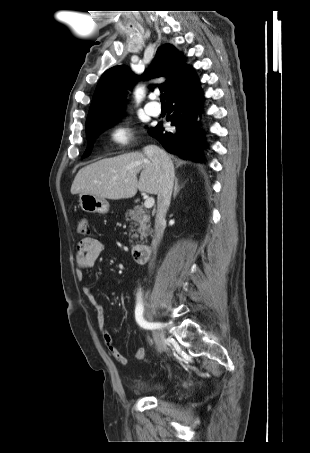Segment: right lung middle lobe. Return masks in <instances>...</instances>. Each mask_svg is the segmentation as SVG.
I'll use <instances>...</instances> for the list:
<instances>
[{"mask_svg":"<svg viewBox=\"0 0 310 453\" xmlns=\"http://www.w3.org/2000/svg\"><path fill=\"white\" fill-rule=\"evenodd\" d=\"M114 122L115 120L86 129V138L88 140V146L82 158L87 157L91 153V150L93 148V141L97 137V135L100 134L105 129H107L109 126H111Z\"/></svg>","mask_w":310,"mask_h":453,"instance_id":"obj_1","label":"right lung middle lobe"}]
</instances>
